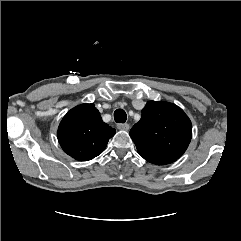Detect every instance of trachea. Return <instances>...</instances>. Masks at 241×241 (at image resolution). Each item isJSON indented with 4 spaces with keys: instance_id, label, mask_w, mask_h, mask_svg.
Masks as SVG:
<instances>
[{
    "instance_id": "1",
    "label": "trachea",
    "mask_w": 241,
    "mask_h": 241,
    "mask_svg": "<svg viewBox=\"0 0 241 241\" xmlns=\"http://www.w3.org/2000/svg\"><path fill=\"white\" fill-rule=\"evenodd\" d=\"M114 119L117 123H125L127 119L126 112L123 109H117L114 112Z\"/></svg>"
}]
</instances>
